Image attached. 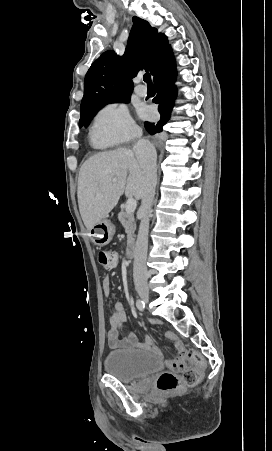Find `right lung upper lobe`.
Listing matches in <instances>:
<instances>
[{
    "instance_id": "right-lung-upper-lobe-1",
    "label": "right lung upper lobe",
    "mask_w": 272,
    "mask_h": 451,
    "mask_svg": "<svg viewBox=\"0 0 272 451\" xmlns=\"http://www.w3.org/2000/svg\"><path fill=\"white\" fill-rule=\"evenodd\" d=\"M128 45L122 57L113 50L104 52L93 62L84 81V96L80 111L115 100L130 98L132 78L141 69L154 75L170 58L171 47L164 34L157 33L149 23L133 17Z\"/></svg>"
}]
</instances>
